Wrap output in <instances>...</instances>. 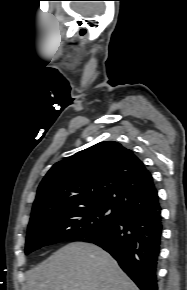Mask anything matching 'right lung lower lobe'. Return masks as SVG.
<instances>
[{
    "label": "right lung lower lobe",
    "instance_id": "1",
    "mask_svg": "<svg viewBox=\"0 0 187 290\" xmlns=\"http://www.w3.org/2000/svg\"><path fill=\"white\" fill-rule=\"evenodd\" d=\"M162 230L161 208L158 206L125 213L115 225L84 241L109 252L141 290H158L157 265Z\"/></svg>",
    "mask_w": 187,
    "mask_h": 290
}]
</instances>
